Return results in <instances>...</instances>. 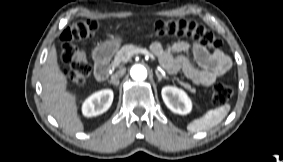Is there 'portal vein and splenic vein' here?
I'll return each instance as SVG.
<instances>
[{"instance_id": "portal-vein-and-splenic-vein-1", "label": "portal vein and splenic vein", "mask_w": 283, "mask_h": 162, "mask_svg": "<svg viewBox=\"0 0 283 162\" xmlns=\"http://www.w3.org/2000/svg\"><path fill=\"white\" fill-rule=\"evenodd\" d=\"M136 53H142L148 57H150L152 60H155V57L148 51V50H141V51H137ZM133 54H130L128 56V59L132 56Z\"/></svg>"}]
</instances>
